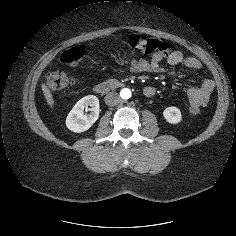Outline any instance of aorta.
<instances>
[{
    "mask_svg": "<svg viewBox=\"0 0 236 236\" xmlns=\"http://www.w3.org/2000/svg\"><path fill=\"white\" fill-rule=\"evenodd\" d=\"M120 96L122 99H129L131 97V90L124 88L120 91Z\"/></svg>",
    "mask_w": 236,
    "mask_h": 236,
    "instance_id": "762f6f07",
    "label": "aorta"
}]
</instances>
